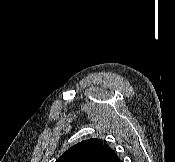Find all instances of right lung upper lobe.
I'll return each instance as SVG.
<instances>
[{"label":"right lung upper lobe","instance_id":"1","mask_svg":"<svg viewBox=\"0 0 175 162\" xmlns=\"http://www.w3.org/2000/svg\"><path fill=\"white\" fill-rule=\"evenodd\" d=\"M119 160L107 144L92 138L70 147L56 162H119Z\"/></svg>","mask_w":175,"mask_h":162}]
</instances>
